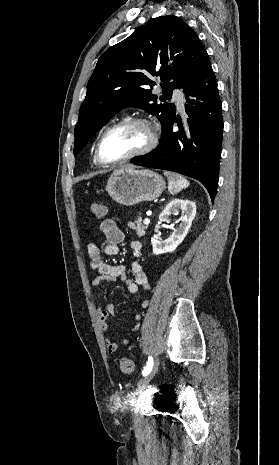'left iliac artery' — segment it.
I'll use <instances>...</instances> for the list:
<instances>
[{"label": "left iliac artery", "instance_id": "left-iliac-artery-1", "mask_svg": "<svg viewBox=\"0 0 279 465\" xmlns=\"http://www.w3.org/2000/svg\"><path fill=\"white\" fill-rule=\"evenodd\" d=\"M152 366H153V358L149 357L148 363H147L145 369L142 372L143 376H146L151 371Z\"/></svg>", "mask_w": 279, "mask_h": 465}]
</instances>
